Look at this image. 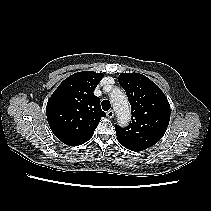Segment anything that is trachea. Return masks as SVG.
I'll use <instances>...</instances> for the list:
<instances>
[{"mask_svg":"<svg viewBox=\"0 0 211 211\" xmlns=\"http://www.w3.org/2000/svg\"><path fill=\"white\" fill-rule=\"evenodd\" d=\"M101 105H102V109L104 111H108L111 107L110 101H108V100H103Z\"/></svg>","mask_w":211,"mask_h":211,"instance_id":"trachea-1","label":"trachea"}]
</instances>
